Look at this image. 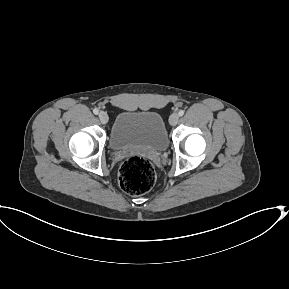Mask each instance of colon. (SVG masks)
<instances>
[{
  "label": "colon",
  "mask_w": 289,
  "mask_h": 289,
  "mask_svg": "<svg viewBox=\"0 0 289 289\" xmlns=\"http://www.w3.org/2000/svg\"><path fill=\"white\" fill-rule=\"evenodd\" d=\"M155 169L151 162L142 156L126 159L119 172V186L127 194L142 195L155 183Z\"/></svg>",
  "instance_id": "colon-1"
}]
</instances>
